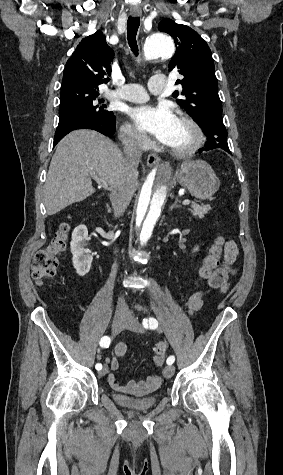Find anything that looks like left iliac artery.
I'll return each mask as SVG.
<instances>
[{
    "label": "left iliac artery",
    "instance_id": "44dca946",
    "mask_svg": "<svg viewBox=\"0 0 283 475\" xmlns=\"http://www.w3.org/2000/svg\"><path fill=\"white\" fill-rule=\"evenodd\" d=\"M142 323H143V326L145 328L149 327L151 329H155L158 326V322L155 318L143 319ZM174 361H175V357L174 356H169L167 358L166 362H167L168 365H172L174 363Z\"/></svg>",
    "mask_w": 283,
    "mask_h": 475
}]
</instances>
